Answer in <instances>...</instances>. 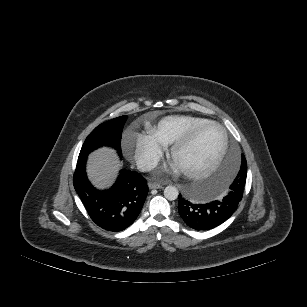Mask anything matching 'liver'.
<instances>
[{
    "instance_id": "liver-1",
    "label": "liver",
    "mask_w": 307,
    "mask_h": 307,
    "mask_svg": "<svg viewBox=\"0 0 307 307\" xmlns=\"http://www.w3.org/2000/svg\"><path fill=\"white\" fill-rule=\"evenodd\" d=\"M120 167L114 150L102 148L89 156L87 172L96 187L105 188L114 182Z\"/></svg>"
}]
</instances>
